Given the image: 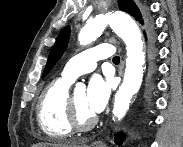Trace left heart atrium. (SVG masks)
Returning a JSON list of instances; mask_svg holds the SVG:
<instances>
[{"label": "left heart atrium", "instance_id": "left-heart-atrium-1", "mask_svg": "<svg viewBox=\"0 0 183 147\" xmlns=\"http://www.w3.org/2000/svg\"><path fill=\"white\" fill-rule=\"evenodd\" d=\"M111 92V84L109 81L95 76L93 77L86 92V107L93 115L103 111Z\"/></svg>", "mask_w": 183, "mask_h": 147}]
</instances>
